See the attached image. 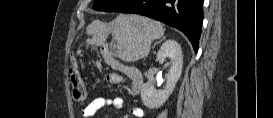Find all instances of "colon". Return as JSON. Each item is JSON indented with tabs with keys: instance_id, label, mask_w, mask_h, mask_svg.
I'll return each instance as SVG.
<instances>
[{
	"instance_id": "1",
	"label": "colon",
	"mask_w": 273,
	"mask_h": 118,
	"mask_svg": "<svg viewBox=\"0 0 273 118\" xmlns=\"http://www.w3.org/2000/svg\"><path fill=\"white\" fill-rule=\"evenodd\" d=\"M105 80L109 84L122 83V79L115 74L106 75ZM69 82H70L74 99L76 101H83L86 96L85 85L78 68L74 64L69 69Z\"/></svg>"
}]
</instances>
